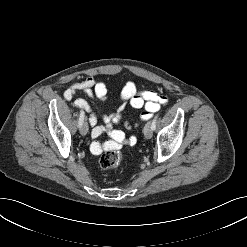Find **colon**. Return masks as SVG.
Segmentation results:
<instances>
[{
    "label": "colon",
    "instance_id": "colon-1",
    "mask_svg": "<svg viewBox=\"0 0 247 247\" xmlns=\"http://www.w3.org/2000/svg\"><path fill=\"white\" fill-rule=\"evenodd\" d=\"M119 140L112 141L109 150L104 152L99 158V165L102 169H114L120 165L121 153L119 152V142L121 141V135H117ZM98 149V148H96Z\"/></svg>",
    "mask_w": 247,
    "mask_h": 247
}]
</instances>
